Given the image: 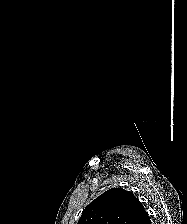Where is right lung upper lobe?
<instances>
[{"label": "right lung upper lobe", "mask_w": 187, "mask_h": 224, "mask_svg": "<svg viewBox=\"0 0 187 224\" xmlns=\"http://www.w3.org/2000/svg\"><path fill=\"white\" fill-rule=\"evenodd\" d=\"M78 224H151L150 218L132 192L107 190L83 210Z\"/></svg>", "instance_id": "cb5924a9"}]
</instances>
